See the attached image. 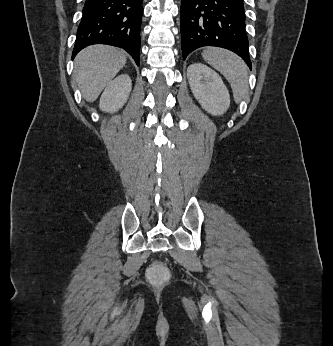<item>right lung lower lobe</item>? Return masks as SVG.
<instances>
[{"mask_svg":"<svg viewBox=\"0 0 333 346\" xmlns=\"http://www.w3.org/2000/svg\"><path fill=\"white\" fill-rule=\"evenodd\" d=\"M142 0H86L72 57L92 44L126 50L139 66Z\"/></svg>","mask_w":333,"mask_h":346,"instance_id":"98d812e1","label":"right lung lower lobe"}]
</instances>
